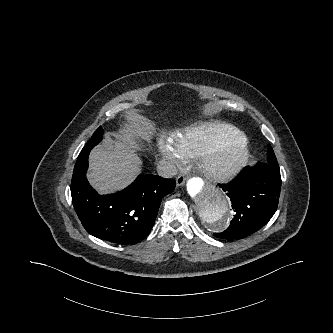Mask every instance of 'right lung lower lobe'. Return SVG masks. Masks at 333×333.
<instances>
[{
    "label": "right lung lower lobe",
    "mask_w": 333,
    "mask_h": 333,
    "mask_svg": "<svg viewBox=\"0 0 333 333\" xmlns=\"http://www.w3.org/2000/svg\"><path fill=\"white\" fill-rule=\"evenodd\" d=\"M92 148L85 146L75 164L71 182L75 211L91 235L116 244H136L151 231L161 200L174 190L175 180L139 175L124 190L99 195L86 178Z\"/></svg>",
    "instance_id": "98d812e1"
}]
</instances>
